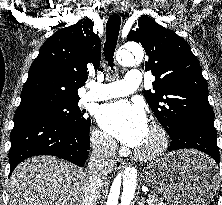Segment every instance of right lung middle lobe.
<instances>
[{
	"mask_svg": "<svg viewBox=\"0 0 222 205\" xmlns=\"http://www.w3.org/2000/svg\"><path fill=\"white\" fill-rule=\"evenodd\" d=\"M78 102H47L24 112H16L15 116L43 115L68 127L89 130L91 120L90 118H84L85 111L79 109Z\"/></svg>",
	"mask_w": 222,
	"mask_h": 205,
	"instance_id": "1",
	"label": "right lung middle lobe"
}]
</instances>
